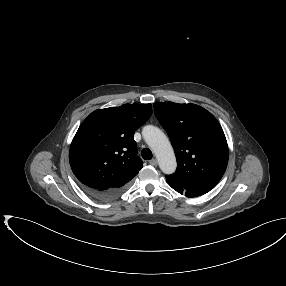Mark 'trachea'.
I'll use <instances>...</instances> for the list:
<instances>
[{
	"label": "trachea",
	"instance_id": "1",
	"mask_svg": "<svg viewBox=\"0 0 286 286\" xmlns=\"http://www.w3.org/2000/svg\"><path fill=\"white\" fill-rule=\"evenodd\" d=\"M141 155L144 160H151L152 159V152L149 148H144L141 152Z\"/></svg>",
	"mask_w": 286,
	"mask_h": 286
}]
</instances>
